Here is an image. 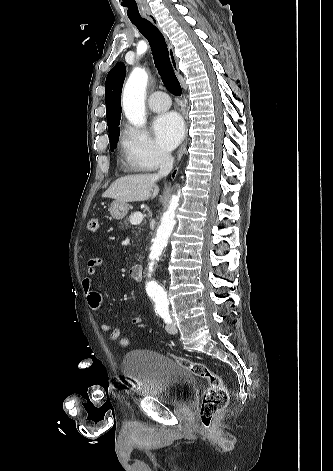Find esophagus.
<instances>
[{"instance_id": "34e87169", "label": "esophagus", "mask_w": 333, "mask_h": 471, "mask_svg": "<svg viewBox=\"0 0 333 471\" xmlns=\"http://www.w3.org/2000/svg\"><path fill=\"white\" fill-rule=\"evenodd\" d=\"M147 19L154 25L156 26L158 29H160V26H159V22L157 20V18L150 14L147 16ZM168 50H169V57H170V61H171V64H172V67L174 69V71L179 74V67H178V59L174 53V50L171 46H168ZM186 140L185 142L183 143V145L181 146V148L179 149V152H178V155H177V162L180 161L183 153H184V150H185V147H186Z\"/></svg>"}]
</instances>
